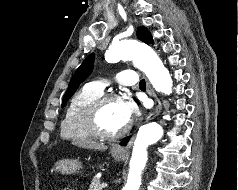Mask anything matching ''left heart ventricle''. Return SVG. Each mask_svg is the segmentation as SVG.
I'll list each match as a JSON object with an SVG mask.
<instances>
[{"label": "left heart ventricle", "mask_w": 238, "mask_h": 190, "mask_svg": "<svg viewBox=\"0 0 238 190\" xmlns=\"http://www.w3.org/2000/svg\"><path fill=\"white\" fill-rule=\"evenodd\" d=\"M100 123L103 129L115 132L124 127L128 121L124 117L121 100L108 102L101 111Z\"/></svg>", "instance_id": "obj_1"}]
</instances>
